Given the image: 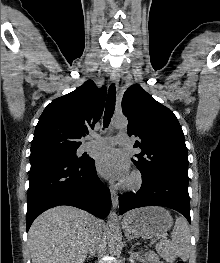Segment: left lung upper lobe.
<instances>
[{"instance_id": "1", "label": "left lung upper lobe", "mask_w": 220, "mask_h": 263, "mask_svg": "<svg viewBox=\"0 0 220 263\" xmlns=\"http://www.w3.org/2000/svg\"><path fill=\"white\" fill-rule=\"evenodd\" d=\"M122 112L128 118V135L140 139L134 147L141 148L142 152L131 160L142 178L168 174L188 182L184 133L174 113L138 84L124 93Z\"/></svg>"}]
</instances>
